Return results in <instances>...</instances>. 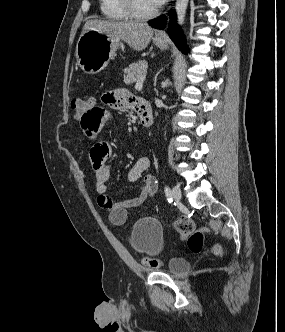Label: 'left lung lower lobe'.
I'll list each match as a JSON object with an SVG mask.
<instances>
[{"label":"left lung lower lobe","instance_id":"1","mask_svg":"<svg viewBox=\"0 0 285 332\" xmlns=\"http://www.w3.org/2000/svg\"><path fill=\"white\" fill-rule=\"evenodd\" d=\"M172 21L169 24V36L174 41L176 46L183 52H186L185 40L181 33L180 27L176 24V16L174 12H171ZM167 21V17L165 15L160 16L154 20L149 21V25L153 28L163 29Z\"/></svg>","mask_w":285,"mask_h":332}]
</instances>
